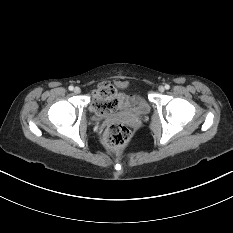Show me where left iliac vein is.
Masks as SVG:
<instances>
[{"instance_id":"obj_1","label":"left iliac vein","mask_w":233,"mask_h":233,"mask_svg":"<svg viewBox=\"0 0 233 233\" xmlns=\"http://www.w3.org/2000/svg\"><path fill=\"white\" fill-rule=\"evenodd\" d=\"M158 89H159L160 92H164L165 91V88L163 86H159Z\"/></svg>"}]
</instances>
